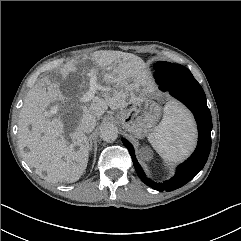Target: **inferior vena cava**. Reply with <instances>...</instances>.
<instances>
[{"mask_svg":"<svg viewBox=\"0 0 241 241\" xmlns=\"http://www.w3.org/2000/svg\"><path fill=\"white\" fill-rule=\"evenodd\" d=\"M96 126V117L92 114H84L81 118L79 127L84 133H90Z\"/></svg>","mask_w":241,"mask_h":241,"instance_id":"1","label":"inferior vena cava"}]
</instances>
